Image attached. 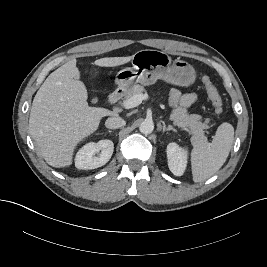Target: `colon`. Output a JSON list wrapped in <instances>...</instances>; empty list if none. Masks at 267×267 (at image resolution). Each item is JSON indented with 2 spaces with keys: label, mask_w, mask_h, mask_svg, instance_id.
I'll use <instances>...</instances> for the list:
<instances>
[{
  "label": "colon",
  "mask_w": 267,
  "mask_h": 267,
  "mask_svg": "<svg viewBox=\"0 0 267 267\" xmlns=\"http://www.w3.org/2000/svg\"><path fill=\"white\" fill-rule=\"evenodd\" d=\"M203 83L206 87V91L208 94V97L215 109V112L217 114L222 113L223 111V101L222 98L217 90V88L213 85V83L210 81L208 77L203 78Z\"/></svg>",
  "instance_id": "colon-1"
}]
</instances>
